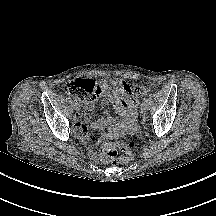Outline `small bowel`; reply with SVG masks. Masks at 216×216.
I'll return each instance as SVG.
<instances>
[{
	"label": "small bowel",
	"mask_w": 216,
	"mask_h": 216,
	"mask_svg": "<svg viewBox=\"0 0 216 216\" xmlns=\"http://www.w3.org/2000/svg\"><path fill=\"white\" fill-rule=\"evenodd\" d=\"M101 86L107 98L102 101V105L112 103L119 117L109 116L93 122L88 128L86 123L90 120V111L94 108V103H84L85 112L74 117L76 134L81 138L89 137L96 140L99 133L103 139L132 133L135 130L134 121L138 103L131 92V86L120 79H105L101 82Z\"/></svg>",
	"instance_id": "small-bowel-1"
}]
</instances>
